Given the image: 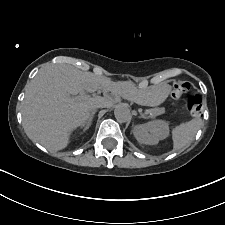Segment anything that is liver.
Listing matches in <instances>:
<instances>
[{
  "label": "liver",
  "instance_id": "liver-1",
  "mask_svg": "<svg viewBox=\"0 0 225 225\" xmlns=\"http://www.w3.org/2000/svg\"><path fill=\"white\" fill-rule=\"evenodd\" d=\"M96 90L103 91L105 96H71ZM110 91L114 96L145 105V92L83 72L71 65L44 66L25 88L22 103L24 131L29 139L49 151L62 150L68 146L71 132L87 122L95 104L112 106L113 100L108 95Z\"/></svg>",
  "mask_w": 225,
  "mask_h": 225
}]
</instances>
